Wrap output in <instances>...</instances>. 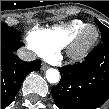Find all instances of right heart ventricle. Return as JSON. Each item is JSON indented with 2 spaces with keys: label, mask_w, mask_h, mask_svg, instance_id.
<instances>
[{
  "label": "right heart ventricle",
  "mask_w": 109,
  "mask_h": 109,
  "mask_svg": "<svg viewBox=\"0 0 109 109\" xmlns=\"http://www.w3.org/2000/svg\"><path fill=\"white\" fill-rule=\"evenodd\" d=\"M88 25L81 20H73L68 24L56 25L51 28H34L27 40L34 42L42 51L44 58H54L57 52L67 47L74 35Z\"/></svg>",
  "instance_id": "1"
}]
</instances>
